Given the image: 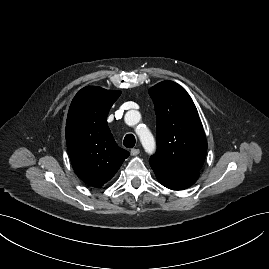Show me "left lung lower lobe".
<instances>
[{"instance_id":"1","label":"left lung lower lobe","mask_w":269,"mask_h":269,"mask_svg":"<svg viewBox=\"0 0 269 269\" xmlns=\"http://www.w3.org/2000/svg\"><path fill=\"white\" fill-rule=\"evenodd\" d=\"M158 181L165 187L172 190H183L193 185L200 173L196 170H189L177 167H170L149 160Z\"/></svg>"}]
</instances>
